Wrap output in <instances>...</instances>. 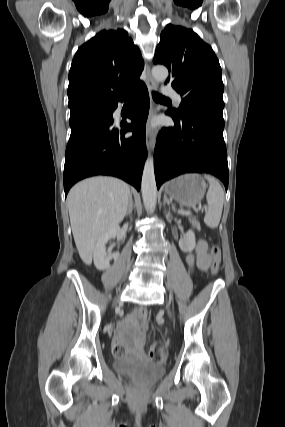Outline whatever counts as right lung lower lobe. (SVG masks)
Segmentation results:
<instances>
[{
	"mask_svg": "<svg viewBox=\"0 0 285 427\" xmlns=\"http://www.w3.org/2000/svg\"><path fill=\"white\" fill-rule=\"evenodd\" d=\"M134 96L133 108L126 119L114 122L113 111L118 101ZM112 104L110 113H89L74 121L65 153V196L77 181L94 175H111L141 186L143 166L147 157L145 124L149 111V95L142 82L137 88ZM128 131L131 137L125 138Z\"/></svg>",
	"mask_w": 285,
	"mask_h": 427,
	"instance_id": "98d812e1",
	"label": "right lung lower lobe"
}]
</instances>
